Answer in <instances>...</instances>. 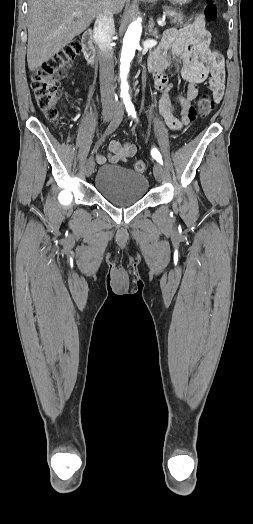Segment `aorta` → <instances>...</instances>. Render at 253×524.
<instances>
[{
  "instance_id": "obj_1",
  "label": "aorta",
  "mask_w": 253,
  "mask_h": 524,
  "mask_svg": "<svg viewBox=\"0 0 253 524\" xmlns=\"http://www.w3.org/2000/svg\"><path fill=\"white\" fill-rule=\"evenodd\" d=\"M142 33V26L139 21L132 22L123 39V46L120 59V79H121V96L125 100H129V85L127 76L130 69V63L135 55V50L139 45Z\"/></svg>"
}]
</instances>
